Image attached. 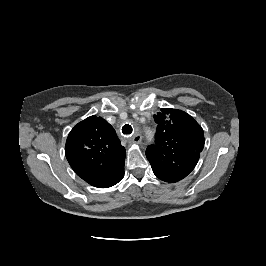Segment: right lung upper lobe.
<instances>
[{"label":"right lung upper lobe","mask_w":266,"mask_h":266,"mask_svg":"<svg viewBox=\"0 0 266 266\" xmlns=\"http://www.w3.org/2000/svg\"><path fill=\"white\" fill-rule=\"evenodd\" d=\"M65 155L74 172L94 187H111L124 176L125 148L101 117L90 116L74 126Z\"/></svg>","instance_id":"right-lung-upper-lobe-1"}]
</instances>
